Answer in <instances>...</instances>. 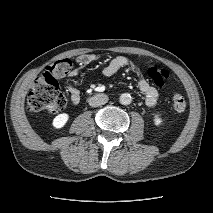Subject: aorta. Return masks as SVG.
Segmentation results:
<instances>
[{
  "mask_svg": "<svg viewBox=\"0 0 213 213\" xmlns=\"http://www.w3.org/2000/svg\"><path fill=\"white\" fill-rule=\"evenodd\" d=\"M119 100L122 105H129L132 102V97L129 93H123Z\"/></svg>",
  "mask_w": 213,
  "mask_h": 213,
  "instance_id": "762f6f07",
  "label": "aorta"
}]
</instances>
